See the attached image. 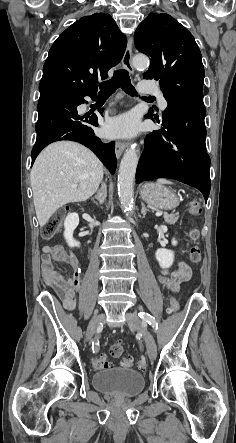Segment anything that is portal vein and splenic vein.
Instances as JSON below:
<instances>
[{
    "label": "portal vein and splenic vein",
    "instance_id": "1",
    "mask_svg": "<svg viewBox=\"0 0 236 443\" xmlns=\"http://www.w3.org/2000/svg\"><path fill=\"white\" fill-rule=\"evenodd\" d=\"M72 187H73V188H76L77 185H72ZM161 215H162V212H157V213H156V216H161Z\"/></svg>",
    "mask_w": 236,
    "mask_h": 443
}]
</instances>
